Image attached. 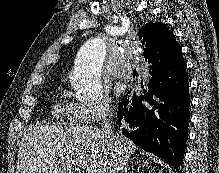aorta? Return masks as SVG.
Listing matches in <instances>:
<instances>
[{
    "instance_id": "obj_1",
    "label": "aorta",
    "mask_w": 219,
    "mask_h": 173,
    "mask_svg": "<svg viewBox=\"0 0 219 173\" xmlns=\"http://www.w3.org/2000/svg\"><path fill=\"white\" fill-rule=\"evenodd\" d=\"M105 56L106 45L100 38H92L80 48L72 81L80 100H95L100 96V75Z\"/></svg>"
}]
</instances>
